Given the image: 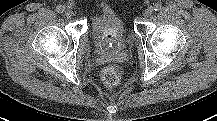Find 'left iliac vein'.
<instances>
[{
    "instance_id": "obj_1",
    "label": "left iliac vein",
    "mask_w": 217,
    "mask_h": 121,
    "mask_svg": "<svg viewBox=\"0 0 217 121\" xmlns=\"http://www.w3.org/2000/svg\"><path fill=\"white\" fill-rule=\"evenodd\" d=\"M152 13H153V8H152V7H148V8L145 10L144 15H145L146 17H149V16H151Z\"/></svg>"
}]
</instances>
